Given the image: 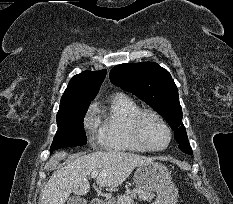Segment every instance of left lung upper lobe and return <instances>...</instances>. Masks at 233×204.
Wrapping results in <instances>:
<instances>
[{
	"mask_svg": "<svg viewBox=\"0 0 233 204\" xmlns=\"http://www.w3.org/2000/svg\"><path fill=\"white\" fill-rule=\"evenodd\" d=\"M111 82L129 91L160 113L174 131L179 149L192 154L185 127L178 89L170 73L154 62L120 64L109 74Z\"/></svg>",
	"mask_w": 233,
	"mask_h": 204,
	"instance_id": "5c2ea615",
	"label": "left lung upper lobe"
}]
</instances>
